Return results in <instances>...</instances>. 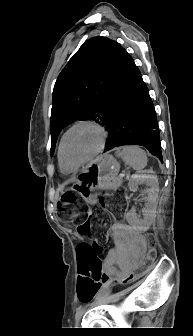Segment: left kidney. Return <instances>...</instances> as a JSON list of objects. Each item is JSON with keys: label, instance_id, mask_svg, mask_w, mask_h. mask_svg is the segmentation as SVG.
Listing matches in <instances>:
<instances>
[{"label": "left kidney", "instance_id": "5707ae66", "mask_svg": "<svg viewBox=\"0 0 193 336\" xmlns=\"http://www.w3.org/2000/svg\"><path fill=\"white\" fill-rule=\"evenodd\" d=\"M145 183L150 188L147 190V203L143 209V219H138L133 211L126 214L128 223L138 231H147L155 219L157 208V196L159 192L158 179L152 170H144L133 174L129 180L128 187L131 191H137L140 184Z\"/></svg>", "mask_w": 193, "mask_h": 336}]
</instances>
